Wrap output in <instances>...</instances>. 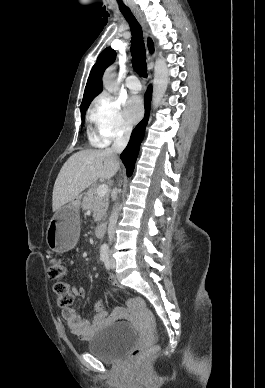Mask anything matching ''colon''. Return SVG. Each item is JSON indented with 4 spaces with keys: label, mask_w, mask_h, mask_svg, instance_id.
Listing matches in <instances>:
<instances>
[{
    "label": "colon",
    "mask_w": 265,
    "mask_h": 388,
    "mask_svg": "<svg viewBox=\"0 0 265 388\" xmlns=\"http://www.w3.org/2000/svg\"><path fill=\"white\" fill-rule=\"evenodd\" d=\"M65 273L66 269L61 260L54 259L51 261L48 268V276L54 281L53 289L57 295L58 306L61 308H69L74 302L73 287L64 280ZM153 350L154 348H135L132 351L130 358L133 361H137Z\"/></svg>",
    "instance_id": "1"
}]
</instances>
